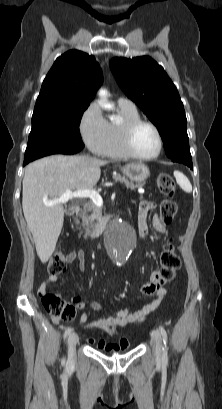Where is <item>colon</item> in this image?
<instances>
[{"label": "colon", "mask_w": 222, "mask_h": 409, "mask_svg": "<svg viewBox=\"0 0 222 409\" xmlns=\"http://www.w3.org/2000/svg\"><path fill=\"white\" fill-rule=\"evenodd\" d=\"M157 187L163 194V201L160 205L161 218L169 222L177 213L178 205L174 198L175 182L168 173H161L157 178ZM66 264V255L61 252H55L49 259L48 272L50 274H59L63 271ZM181 266V261L177 255L173 244L169 241L165 244L159 258L158 269L162 270L166 283H170ZM154 276V274H153ZM41 295V302L47 313L54 317L64 320L72 319L75 315V307L66 301L60 294L44 292Z\"/></svg>", "instance_id": "colon-1"}]
</instances>
